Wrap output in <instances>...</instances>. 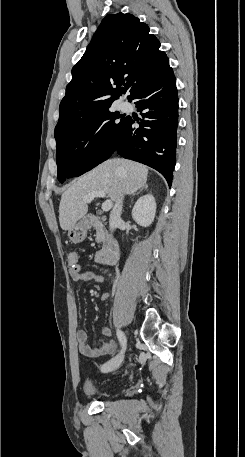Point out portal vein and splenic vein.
Masks as SVG:
<instances>
[{
    "mask_svg": "<svg viewBox=\"0 0 245 457\" xmlns=\"http://www.w3.org/2000/svg\"><path fill=\"white\" fill-rule=\"evenodd\" d=\"M95 196H106V192H104V190H93V192H90V194H87V196H84L83 202H91V200H93V198H95ZM112 206H113L112 200H109V198H107V200H105V202H103V204H102V210H110V208H112Z\"/></svg>",
    "mask_w": 245,
    "mask_h": 457,
    "instance_id": "1",
    "label": "portal vein and splenic vein"
}]
</instances>
